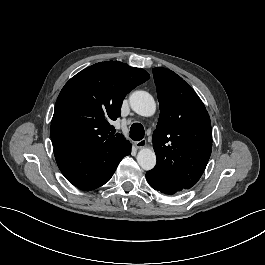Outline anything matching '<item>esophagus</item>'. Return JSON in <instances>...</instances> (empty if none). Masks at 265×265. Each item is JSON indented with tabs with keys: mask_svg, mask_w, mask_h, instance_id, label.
Wrapping results in <instances>:
<instances>
[{
	"mask_svg": "<svg viewBox=\"0 0 265 265\" xmlns=\"http://www.w3.org/2000/svg\"><path fill=\"white\" fill-rule=\"evenodd\" d=\"M147 142L145 139H142L140 141L135 142L136 148H144L146 146Z\"/></svg>",
	"mask_w": 265,
	"mask_h": 265,
	"instance_id": "esophagus-1",
	"label": "esophagus"
}]
</instances>
